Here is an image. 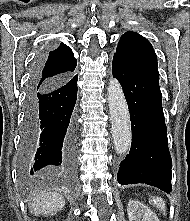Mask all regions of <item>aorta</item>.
<instances>
[{"label": "aorta", "instance_id": "obj_1", "mask_svg": "<svg viewBox=\"0 0 190 221\" xmlns=\"http://www.w3.org/2000/svg\"><path fill=\"white\" fill-rule=\"evenodd\" d=\"M107 95L114 147L118 154H124L131 145V125L127 102L117 79L109 81Z\"/></svg>", "mask_w": 190, "mask_h": 221}]
</instances>
